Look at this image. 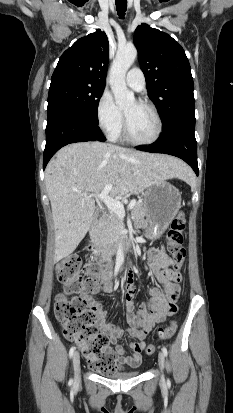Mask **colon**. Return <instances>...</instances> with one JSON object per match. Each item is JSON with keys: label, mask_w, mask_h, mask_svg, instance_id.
<instances>
[{"label": "colon", "mask_w": 233, "mask_h": 413, "mask_svg": "<svg viewBox=\"0 0 233 413\" xmlns=\"http://www.w3.org/2000/svg\"><path fill=\"white\" fill-rule=\"evenodd\" d=\"M185 217L179 213L171 222L167 233V251L173 260L172 274H179L185 259L183 247V232ZM57 278L65 287L69 295L59 294L55 299V315L59 321L63 334L75 340L82 346L84 355L90 365L103 374H110L116 370V355L109 347L107 336L98 333L95 325V315L88 306L83 295L93 291L102 274L100 264L95 260L83 261L77 255H71L61 260L56 268ZM178 306L170 308L176 311ZM177 330L176 321H171L168 326L158 332L160 340L170 339ZM155 345L146 346V353L152 354Z\"/></svg>", "instance_id": "colon-1"}]
</instances>
